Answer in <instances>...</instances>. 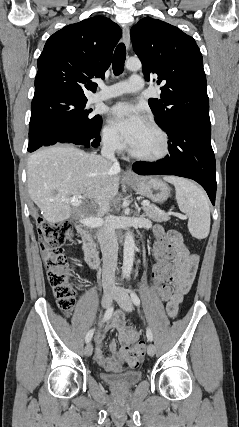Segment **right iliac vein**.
I'll return each instance as SVG.
<instances>
[{
  "instance_id": "63e3f726",
  "label": "right iliac vein",
  "mask_w": 239,
  "mask_h": 427,
  "mask_svg": "<svg viewBox=\"0 0 239 427\" xmlns=\"http://www.w3.org/2000/svg\"><path fill=\"white\" fill-rule=\"evenodd\" d=\"M114 293L115 292L112 291V290L104 292L103 297H102V306L104 308H109V306L112 303V299H113ZM92 352H93V345L91 343H88L85 346L84 354L89 357V356L92 355Z\"/></svg>"
}]
</instances>
